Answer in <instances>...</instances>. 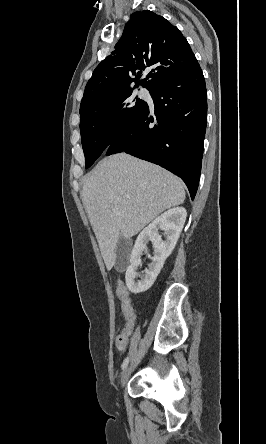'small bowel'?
Returning a JSON list of instances; mask_svg holds the SVG:
<instances>
[{
  "mask_svg": "<svg viewBox=\"0 0 266 444\" xmlns=\"http://www.w3.org/2000/svg\"><path fill=\"white\" fill-rule=\"evenodd\" d=\"M115 294L120 300L121 309L125 318V327L116 337V345L119 349H124L129 341L136 323V313L132 304L131 295L123 282L118 281L115 287Z\"/></svg>",
  "mask_w": 266,
  "mask_h": 444,
  "instance_id": "1",
  "label": "small bowel"
}]
</instances>
